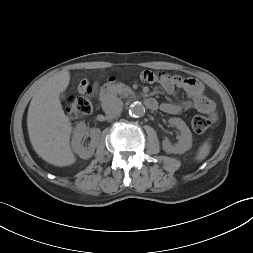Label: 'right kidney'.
<instances>
[{"label":"right kidney","mask_w":253,"mask_h":253,"mask_svg":"<svg viewBox=\"0 0 253 253\" xmlns=\"http://www.w3.org/2000/svg\"><path fill=\"white\" fill-rule=\"evenodd\" d=\"M101 130L99 128L88 129L84 123H79L74 129L72 137V149L82 159L91 158L99 143ZM90 136L91 141L88 147L83 146L82 139Z\"/></svg>","instance_id":"obj_1"}]
</instances>
